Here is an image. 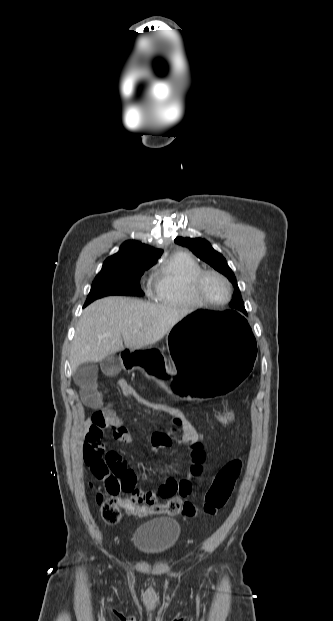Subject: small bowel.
I'll return each mask as SVG.
<instances>
[{
	"label": "small bowel",
	"instance_id": "obj_1",
	"mask_svg": "<svg viewBox=\"0 0 333 621\" xmlns=\"http://www.w3.org/2000/svg\"><path fill=\"white\" fill-rule=\"evenodd\" d=\"M105 371L112 372L116 368V361L108 358L103 363ZM118 389L126 396L136 397V391L125 380L117 382ZM83 403L95 410L93 415L85 421L84 441L82 454L85 463L90 467L92 473L99 467L101 462L109 463L116 468H123L127 464L121 455L114 450L106 451L103 442L105 432L111 431L114 440L119 443H130L132 438L127 428L121 420L108 408L103 407L100 392L91 382H84L81 391ZM170 416L174 428L170 431H157L151 435V445L154 450H161L171 446L174 434L179 431L182 438L179 447L186 456L187 462L182 467L184 477L175 479L167 477L164 482L155 490H145L135 487L129 491L130 497L124 499L133 509L158 503L163 499L178 497H188L192 492L193 479L200 476L205 461L204 436L203 434L178 411H162ZM155 472L170 475L175 472L171 465L156 463Z\"/></svg>",
	"mask_w": 333,
	"mask_h": 621
}]
</instances>
